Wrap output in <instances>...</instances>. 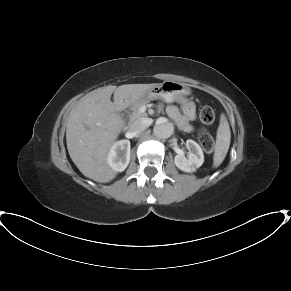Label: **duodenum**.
Listing matches in <instances>:
<instances>
[{"label": "duodenum", "mask_w": 291, "mask_h": 291, "mask_svg": "<svg viewBox=\"0 0 291 291\" xmlns=\"http://www.w3.org/2000/svg\"><path fill=\"white\" fill-rule=\"evenodd\" d=\"M114 113H115V117H116L117 121H121L122 109L121 108H117Z\"/></svg>", "instance_id": "duodenum-1"}]
</instances>
